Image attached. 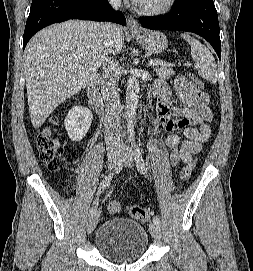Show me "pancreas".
I'll return each mask as SVG.
<instances>
[{"label": "pancreas", "instance_id": "obj_1", "mask_svg": "<svg viewBox=\"0 0 253 271\" xmlns=\"http://www.w3.org/2000/svg\"><path fill=\"white\" fill-rule=\"evenodd\" d=\"M164 65H156L155 71L157 75L164 79H169L171 76L175 74L171 66L168 63L164 62Z\"/></svg>", "mask_w": 253, "mask_h": 271}]
</instances>
